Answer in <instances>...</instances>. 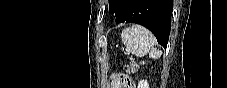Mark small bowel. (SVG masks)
Here are the masks:
<instances>
[{
  "label": "small bowel",
  "instance_id": "obj_1",
  "mask_svg": "<svg viewBox=\"0 0 227 88\" xmlns=\"http://www.w3.org/2000/svg\"><path fill=\"white\" fill-rule=\"evenodd\" d=\"M130 78L127 77V76H120L116 79H114L112 82H111V88H120V87H123V85L129 81Z\"/></svg>",
  "mask_w": 227,
  "mask_h": 88
}]
</instances>
